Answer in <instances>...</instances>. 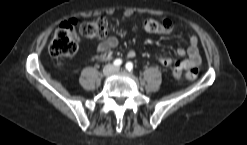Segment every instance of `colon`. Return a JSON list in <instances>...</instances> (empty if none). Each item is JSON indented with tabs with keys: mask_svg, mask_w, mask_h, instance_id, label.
I'll return each mask as SVG.
<instances>
[{
	"mask_svg": "<svg viewBox=\"0 0 247 145\" xmlns=\"http://www.w3.org/2000/svg\"><path fill=\"white\" fill-rule=\"evenodd\" d=\"M109 21L105 17H97L91 21L83 23L79 30L74 21L62 23L55 31L53 39L49 45V52L54 57H69L76 53L78 49L79 32L88 38H104L109 31ZM145 31L154 34L167 35L173 31V23L169 20H157L147 17L143 21ZM166 65L171 62L165 61ZM173 71L176 76L183 73V65L181 61L173 64ZM198 75L197 69H191L186 72L188 79H196Z\"/></svg>",
	"mask_w": 247,
	"mask_h": 145,
	"instance_id": "1",
	"label": "colon"
}]
</instances>
